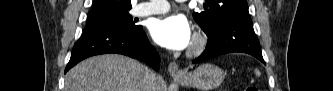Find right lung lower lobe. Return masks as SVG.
<instances>
[{
	"mask_svg": "<svg viewBox=\"0 0 333 91\" xmlns=\"http://www.w3.org/2000/svg\"><path fill=\"white\" fill-rule=\"evenodd\" d=\"M106 53H118L143 60L155 70L160 65L159 55L143 29L86 26L83 35L74 45L65 73L85 58Z\"/></svg>",
	"mask_w": 333,
	"mask_h": 91,
	"instance_id": "98d812e1",
	"label": "right lung lower lobe"
}]
</instances>
